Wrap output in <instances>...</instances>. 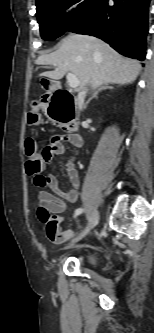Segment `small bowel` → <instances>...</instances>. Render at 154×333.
<instances>
[{
    "label": "small bowel",
    "instance_id": "small-bowel-1",
    "mask_svg": "<svg viewBox=\"0 0 154 333\" xmlns=\"http://www.w3.org/2000/svg\"><path fill=\"white\" fill-rule=\"evenodd\" d=\"M82 138L78 134L66 133L54 136L48 145L40 150L42 162L51 163L54 156L65 153V143H70L75 149L82 146ZM66 171L72 188L64 191L60 188L57 177L53 174H37L34 177L36 186L42 188L38 194L39 207L37 210L38 218L45 222L50 218V214H60L65 210V201L75 203L78 199L79 188L81 184L80 176L74 166V157L66 164ZM71 230H59V238L51 240L55 244H61L72 237Z\"/></svg>",
    "mask_w": 154,
    "mask_h": 333
}]
</instances>
